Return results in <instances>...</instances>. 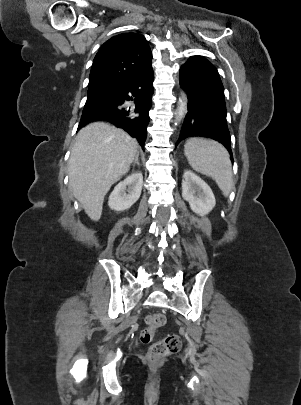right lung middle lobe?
<instances>
[{
  "mask_svg": "<svg viewBox=\"0 0 301 405\" xmlns=\"http://www.w3.org/2000/svg\"><path fill=\"white\" fill-rule=\"evenodd\" d=\"M117 92L109 90L88 91V97L84 109H90L99 104L111 100Z\"/></svg>",
  "mask_w": 301,
  "mask_h": 405,
  "instance_id": "right-lung-middle-lobe-1",
  "label": "right lung middle lobe"
}]
</instances>
